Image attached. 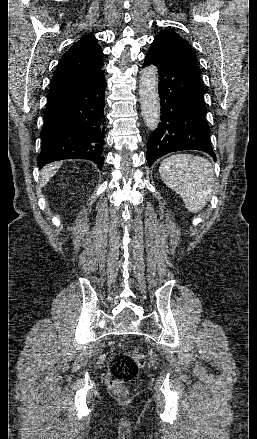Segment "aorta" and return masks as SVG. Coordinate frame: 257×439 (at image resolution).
<instances>
[{"mask_svg": "<svg viewBox=\"0 0 257 439\" xmlns=\"http://www.w3.org/2000/svg\"><path fill=\"white\" fill-rule=\"evenodd\" d=\"M139 97L143 120L150 130H155L160 122V102L158 97V74L154 66L146 67L140 77Z\"/></svg>", "mask_w": 257, "mask_h": 439, "instance_id": "aorta-1", "label": "aorta"}]
</instances>
